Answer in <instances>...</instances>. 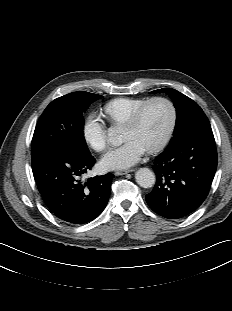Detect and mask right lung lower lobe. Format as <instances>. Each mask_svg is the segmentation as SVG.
I'll return each mask as SVG.
<instances>
[{
    "instance_id": "98d812e1",
    "label": "right lung lower lobe",
    "mask_w": 232,
    "mask_h": 311,
    "mask_svg": "<svg viewBox=\"0 0 232 311\" xmlns=\"http://www.w3.org/2000/svg\"><path fill=\"white\" fill-rule=\"evenodd\" d=\"M94 164L91 155L81 157L59 148H47L32 154V170L38 190L56 217L70 224H84L102 213L114 175L108 173L83 180V174Z\"/></svg>"
}]
</instances>
